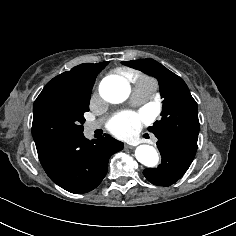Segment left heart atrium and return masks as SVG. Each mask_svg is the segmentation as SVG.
Instances as JSON below:
<instances>
[{"instance_id":"39dd6f15","label":"left heart atrium","mask_w":236,"mask_h":236,"mask_svg":"<svg viewBox=\"0 0 236 236\" xmlns=\"http://www.w3.org/2000/svg\"><path fill=\"white\" fill-rule=\"evenodd\" d=\"M145 119L141 114L134 112H123L116 115L109 123V130L121 138L134 135L143 125Z\"/></svg>"}]
</instances>
